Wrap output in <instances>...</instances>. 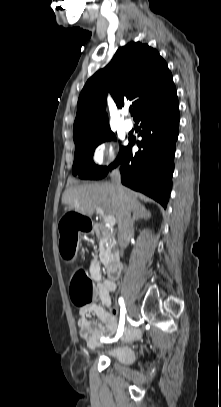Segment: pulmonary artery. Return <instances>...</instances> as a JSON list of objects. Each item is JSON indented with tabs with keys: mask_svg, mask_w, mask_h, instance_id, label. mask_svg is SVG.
Instances as JSON below:
<instances>
[{
	"mask_svg": "<svg viewBox=\"0 0 221 407\" xmlns=\"http://www.w3.org/2000/svg\"><path fill=\"white\" fill-rule=\"evenodd\" d=\"M122 127L125 131H130L133 129V122L130 119L124 120Z\"/></svg>",
	"mask_w": 221,
	"mask_h": 407,
	"instance_id": "obj_1",
	"label": "pulmonary artery"
}]
</instances>
